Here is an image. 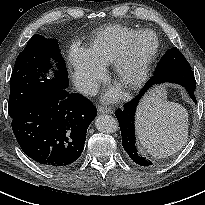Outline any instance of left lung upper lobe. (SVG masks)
<instances>
[{"label": "left lung upper lobe", "instance_id": "left-lung-upper-lobe-1", "mask_svg": "<svg viewBox=\"0 0 205 205\" xmlns=\"http://www.w3.org/2000/svg\"><path fill=\"white\" fill-rule=\"evenodd\" d=\"M191 66L184 55L176 48L169 49L158 64L154 76L180 70H190Z\"/></svg>", "mask_w": 205, "mask_h": 205}]
</instances>
